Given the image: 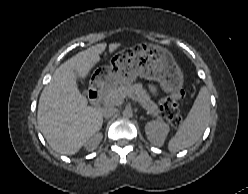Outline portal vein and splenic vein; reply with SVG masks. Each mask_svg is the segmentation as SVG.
Here are the masks:
<instances>
[{"label": "portal vein and splenic vein", "instance_id": "obj_1", "mask_svg": "<svg viewBox=\"0 0 248 194\" xmlns=\"http://www.w3.org/2000/svg\"><path fill=\"white\" fill-rule=\"evenodd\" d=\"M125 96H126V95H123L124 98H125ZM128 96H129L130 98H132V99H135V96H133V95H131V94L128 95Z\"/></svg>", "mask_w": 248, "mask_h": 194}]
</instances>
